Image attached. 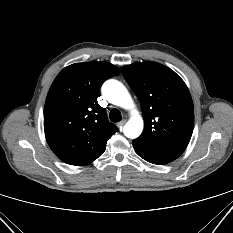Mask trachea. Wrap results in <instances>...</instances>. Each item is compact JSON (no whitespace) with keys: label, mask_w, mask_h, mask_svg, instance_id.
Returning a JSON list of instances; mask_svg holds the SVG:
<instances>
[{"label":"trachea","mask_w":233,"mask_h":233,"mask_svg":"<svg viewBox=\"0 0 233 233\" xmlns=\"http://www.w3.org/2000/svg\"><path fill=\"white\" fill-rule=\"evenodd\" d=\"M109 118L112 122H119L121 120V112L118 109L114 108L110 111Z\"/></svg>","instance_id":"3493384b"}]
</instances>
